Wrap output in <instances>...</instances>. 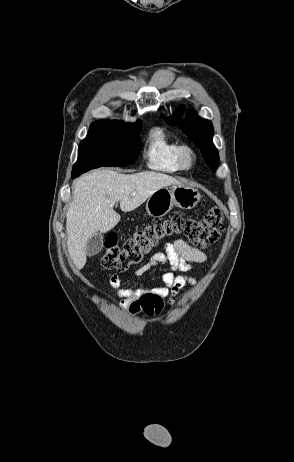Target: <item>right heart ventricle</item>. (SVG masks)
<instances>
[{
  "instance_id": "obj_1",
  "label": "right heart ventricle",
  "mask_w": 294,
  "mask_h": 462,
  "mask_svg": "<svg viewBox=\"0 0 294 462\" xmlns=\"http://www.w3.org/2000/svg\"><path fill=\"white\" fill-rule=\"evenodd\" d=\"M181 145L171 139L163 128L153 129L148 138L145 151L147 166L159 172L175 173L182 168L178 162V151Z\"/></svg>"
}]
</instances>
